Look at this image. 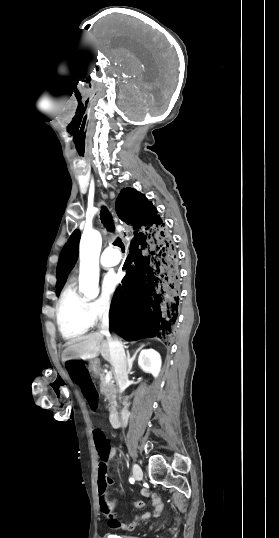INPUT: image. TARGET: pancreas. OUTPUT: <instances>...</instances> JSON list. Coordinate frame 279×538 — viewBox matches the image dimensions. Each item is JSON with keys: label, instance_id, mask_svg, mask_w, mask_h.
Instances as JSON below:
<instances>
[{"label": "pancreas", "instance_id": "pancreas-1", "mask_svg": "<svg viewBox=\"0 0 279 538\" xmlns=\"http://www.w3.org/2000/svg\"><path fill=\"white\" fill-rule=\"evenodd\" d=\"M100 392L101 394H104L105 400L108 402V408L110 412H113L114 406H116V394L118 392L117 388H115L114 384L112 382H105V376L104 374H100Z\"/></svg>", "mask_w": 279, "mask_h": 538}]
</instances>
